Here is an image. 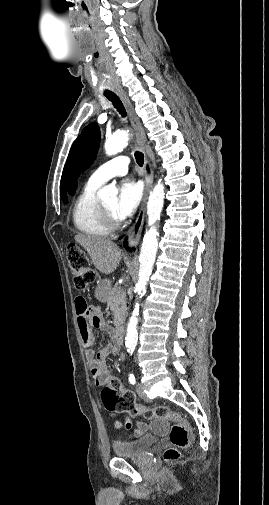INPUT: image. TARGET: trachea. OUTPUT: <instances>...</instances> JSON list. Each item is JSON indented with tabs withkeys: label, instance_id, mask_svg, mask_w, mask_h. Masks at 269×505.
Here are the masks:
<instances>
[{
	"label": "trachea",
	"instance_id": "1",
	"mask_svg": "<svg viewBox=\"0 0 269 505\" xmlns=\"http://www.w3.org/2000/svg\"><path fill=\"white\" fill-rule=\"evenodd\" d=\"M104 95L107 97L109 101H111L114 105V107L117 109V111L122 115V117L126 116V111L125 108L118 98V96L113 93V92H105ZM135 158L136 162L138 163L139 166H143L144 163V155L142 152L136 151L135 152Z\"/></svg>",
	"mask_w": 269,
	"mask_h": 505
}]
</instances>
